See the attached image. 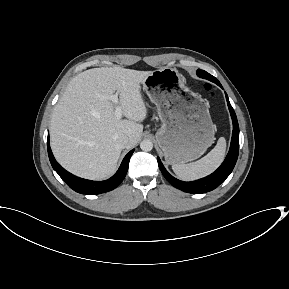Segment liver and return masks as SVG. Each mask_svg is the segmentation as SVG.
I'll return each instance as SVG.
<instances>
[{
	"label": "liver",
	"mask_w": 289,
	"mask_h": 289,
	"mask_svg": "<svg viewBox=\"0 0 289 289\" xmlns=\"http://www.w3.org/2000/svg\"><path fill=\"white\" fill-rule=\"evenodd\" d=\"M152 71L120 66L86 70L74 77L55 105L50 125L51 148L68 171L87 179H104L116 169L126 136L134 147L143 132L147 108L140 84ZM127 119L117 118L113 93Z\"/></svg>",
	"instance_id": "obj_1"
}]
</instances>
